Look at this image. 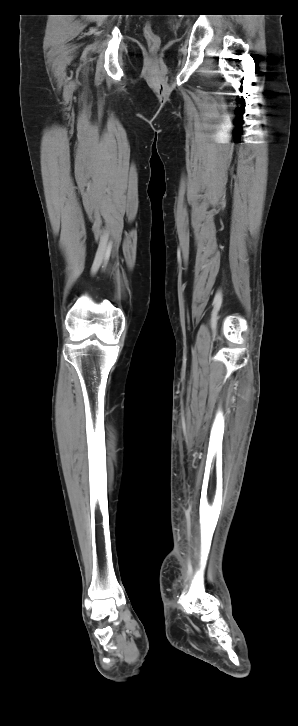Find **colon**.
<instances>
[{
  "mask_svg": "<svg viewBox=\"0 0 298 726\" xmlns=\"http://www.w3.org/2000/svg\"><path fill=\"white\" fill-rule=\"evenodd\" d=\"M144 36L152 49H156L159 46V36L152 30L149 25L144 27Z\"/></svg>",
  "mask_w": 298,
  "mask_h": 726,
  "instance_id": "5ec220e1",
  "label": "colon"
}]
</instances>
